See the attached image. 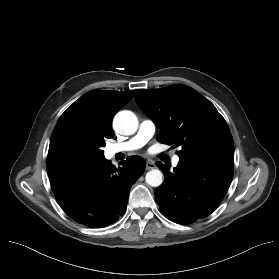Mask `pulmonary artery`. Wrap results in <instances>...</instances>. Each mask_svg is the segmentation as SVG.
Instances as JSON below:
<instances>
[{"instance_id":"1","label":"pulmonary artery","mask_w":279,"mask_h":279,"mask_svg":"<svg viewBox=\"0 0 279 279\" xmlns=\"http://www.w3.org/2000/svg\"><path fill=\"white\" fill-rule=\"evenodd\" d=\"M156 130L155 123L150 119H145L140 123L137 133L130 139L121 142L111 144L106 148L108 157H113L118 153H125L137 150L143 147L154 135ZM180 159L177 155L173 156L172 164L176 166Z\"/></svg>"}]
</instances>
